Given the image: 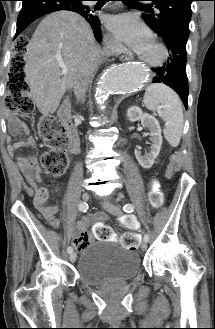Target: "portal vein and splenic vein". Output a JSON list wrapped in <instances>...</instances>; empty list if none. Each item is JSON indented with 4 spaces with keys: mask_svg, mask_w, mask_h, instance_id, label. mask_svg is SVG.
<instances>
[{
    "mask_svg": "<svg viewBox=\"0 0 215 329\" xmlns=\"http://www.w3.org/2000/svg\"><path fill=\"white\" fill-rule=\"evenodd\" d=\"M61 68H62V70H61V74H62V75H66V74L68 73V69H67V67H66L65 65H61Z\"/></svg>",
    "mask_w": 215,
    "mask_h": 329,
    "instance_id": "1",
    "label": "portal vein and splenic vein"
}]
</instances>
